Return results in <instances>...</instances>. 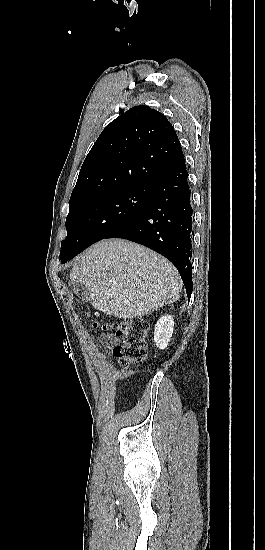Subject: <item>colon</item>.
Segmentation results:
<instances>
[{"label": "colon", "instance_id": "obj_1", "mask_svg": "<svg viewBox=\"0 0 265 550\" xmlns=\"http://www.w3.org/2000/svg\"><path fill=\"white\" fill-rule=\"evenodd\" d=\"M95 319L92 322L93 328H101L104 331H110L116 337L122 339V342L113 349L118 363L122 367H129L144 361L147 357L146 337L149 324L141 318H133L126 321H106L99 322Z\"/></svg>", "mask_w": 265, "mask_h": 550}]
</instances>
